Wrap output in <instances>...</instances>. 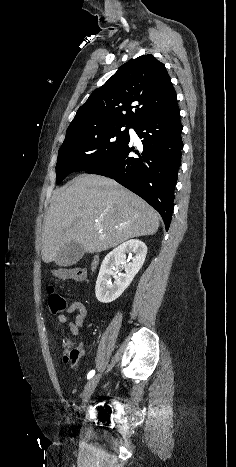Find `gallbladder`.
Returning <instances> with one entry per match:
<instances>
[{"label": "gallbladder", "instance_id": "bac80fb5", "mask_svg": "<svg viewBox=\"0 0 236 467\" xmlns=\"http://www.w3.org/2000/svg\"><path fill=\"white\" fill-rule=\"evenodd\" d=\"M85 254V249L78 242H69L63 246L55 258V263L61 267L75 265Z\"/></svg>", "mask_w": 236, "mask_h": 467}]
</instances>
